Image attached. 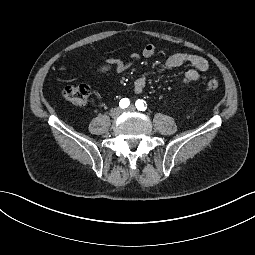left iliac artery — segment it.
Wrapping results in <instances>:
<instances>
[{"instance_id":"obj_1","label":"left iliac artery","mask_w":255,"mask_h":255,"mask_svg":"<svg viewBox=\"0 0 255 255\" xmlns=\"http://www.w3.org/2000/svg\"><path fill=\"white\" fill-rule=\"evenodd\" d=\"M135 106L136 108L139 110V111H145L146 108H147V104L144 100H141V99H138L135 103Z\"/></svg>"}]
</instances>
